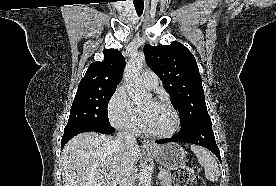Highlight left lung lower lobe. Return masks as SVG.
<instances>
[{
	"label": "left lung lower lobe",
	"instance_id": "left-lung-lower-lobe-1",
	"mask_svg": "<svg viewBox=\"0 0 276 186\" xmlns=\"http://www.w3.org/2000/svg\"><path fill=\"white\" fill-rule=\"evenodd\" d=\"M167 142H187L203 146L213 152L221 162L220 151L216 145L214 133L212 131V123L199 124L184 132H179L172 138L156 141V143L159 144Z\"/></svg>",
	"mask_w": 276,
	"mask_h": 186
}]
</instances>
